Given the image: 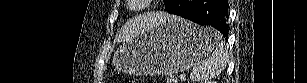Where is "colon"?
<instances>
[{
  "label": "colon",
  "mask_w": 307,
  "mask_h": 83,
  "mask_svg": "<svg viewBox=\"0 0 307 83\" xmlns=\"http://www.w3.org/2000/svg\"><path fill=\"white\" fill-rule=\"evenodd\" d=\"M122 82L123 83H134V81L131 79H124Z\"/></svg>",
  "instance_id": "colon-1"
}]
</instances>
